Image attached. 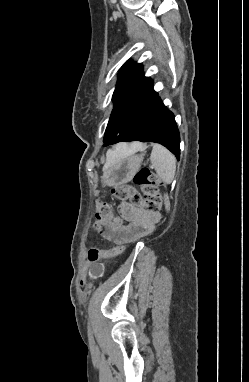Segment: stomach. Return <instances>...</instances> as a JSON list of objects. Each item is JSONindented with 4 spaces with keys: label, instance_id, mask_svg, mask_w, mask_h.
I'll use <instances>...</instances> for the list:
<instances>
[{
    "label": "stomach",
    "instance_id": "0dacf381",
    "mask_svg": "<svg viewBox=\"0 0 249 382\" xmlns=\"http://www.w3.org/2000/svg\"><path fill=\"white\" fill-rule=\"evenodd\" d=\"M144 154H131L112 159L103 170L102 183L104 186H118L129 182L141 167Z\"/></svg>",
    "mask_w": 249,
    "mask_h": 382
}]
</instances>
